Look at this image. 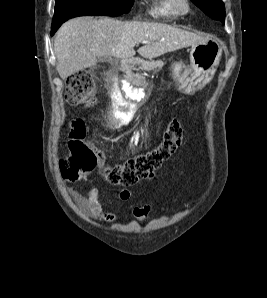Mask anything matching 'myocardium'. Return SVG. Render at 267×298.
Here are the masks:
<instances>
[{"label":"myocardium","instance_id":"obj_1","mask_svg":"<svg viewBox=\"0 0 267 298\" xmlns=\"http://www.w3.org/2000/svg\"><path fill=\"white\" fill-rule=\"evenodd\" d=\"M172 1H173V5H174L175 9L180 14H186L191 9L190 0H172Z\"/></svg>","mask_w":267,"mask_h":298}]
</instances>
